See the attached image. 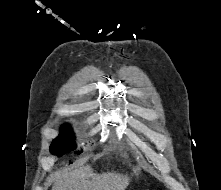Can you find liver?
Returning a JSON list of instances; mask_svg holds the SVG:
<instances>
[{
    "mask_svg": "<svg viewBox=\"0 0 221 190\" xmlns=\"http://www.w3.org/2000/svg\"><path fill=\"white\" fill-rule=\"evenodd\" d=\"M53 180L52 190H125L130 182L127 175L116 172L97 174L88 165L70 172H57Z\"/></svg>",
    "mask_w": 221,
    "mask_h": 190,
    "instance_id": "1",
    "label": "liver"
}]
</instances>
